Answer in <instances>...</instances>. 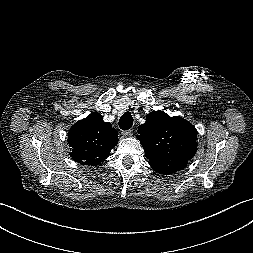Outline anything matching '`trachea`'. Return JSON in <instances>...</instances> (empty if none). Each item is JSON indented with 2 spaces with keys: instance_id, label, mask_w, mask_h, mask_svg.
Wrapping results in <instances>:
<instances>
[{
  "instance_id": "obj_1",
  "label": "trachea",
  "mask_w": 253,
  "mask_h": 253,
  "mask_svg": "<svg viewBox=\"0 0 253 253\" xmlns=\"http://www.w3.org/2000/svg\"><path fill=\"white\" fill-rule=\"evenodd\" d=\"M133 125V117L130 112H126L122 115V117L119 120V127L122 130H128Z\"/></svg>"
}]
</instances>
